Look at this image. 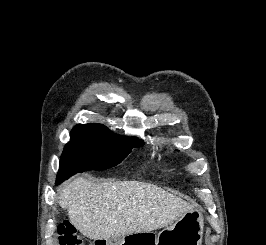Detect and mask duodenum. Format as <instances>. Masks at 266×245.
Returning a JSON list of instances; mask_svg holds the SVG:
<instances>
[{
    "instance_id": "410a0bca",
    "label": "duodenum",
    "mask_w": 266,
    "mask_h": 245,
    "mask_svg": "<svg viewBox=\"0 0 266 245\" xmlns=\"http://www.w3.org/2000/svg\"><path fill=\"white\" fill-rule=\"evenodd\" d=\"M96 242H98V245H105V242H107V237H96Z\"/></svg>"
}]
</instances>
